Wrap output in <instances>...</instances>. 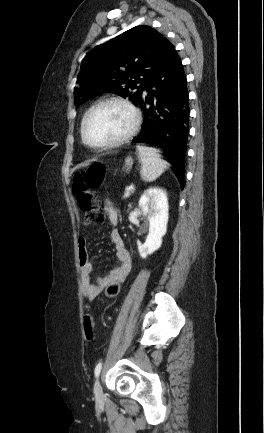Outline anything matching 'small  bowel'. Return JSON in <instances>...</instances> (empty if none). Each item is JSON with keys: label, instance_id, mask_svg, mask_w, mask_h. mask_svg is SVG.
Returning a JSON list of instances; mask_svg holds the SVG:
<instances>
[{"label": "small bowel", "instance_id": "c3829d8e", "mask_svg": "<svg viewBox=\"0 0 264 433\" xmlns=\"http://www.w3.org/2000/svg\"><path fill=\"white\" fill-rule=\"evenodd\" d=\"M104 210L108 215L110 224L114 227L111 233V240L114 246L118 266L112 269L108 274L97 278L93 281L94 266L89 260L87 242L85 238H79V265L82 282V292L87 301H92L98 297L104 288L111 283H122L126 280L131 272L132 260L122 237L117 229L119 216L118 212L110 200H105ZM84 333L89 341L94 339V319L91 314H86L83 321Z\"/></svg>", "mask_w": 264, "mask_h": 433}]
</instances>
